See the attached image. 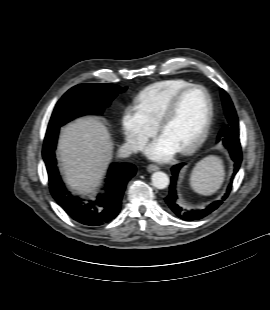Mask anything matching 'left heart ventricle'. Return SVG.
<instances>
[{
    "mask_svg": "<svg viewBox=\"0 0 270 310\" xmlns=\"http://www.w3.org/2000/svg\"><path fill=\"white\" fill-rule=\"evenodd\" d=\"M205 94L195 90L186 94L178 110L163 128V135L179 151L188 146L201 133L207 116Z\"/></svg>",
    "mask_w": 270,
    "mask_h": 310,
    "instance_id": "left-heart-ventricle-1",
    "label": "left heart ventricle"
}]
</instances>
